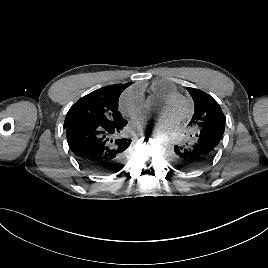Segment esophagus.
I'll return each instance as SVG.
<instances>
[{
    "mask_svg": "<svg viewBox=\"0 0 268 268\" xmlns=\"http://www.w3.org/2000/svg\"><path fill=\"white\" fill-rule=\"evenodd\" d=\"M143 134H144V132H143V131H140V132H139V135H143Z\"/></svg>",
    "mask_w": 268,
    "mask_h": 268,
    "instance_id": "34e87169",
    "label": "esophagus"
}]
</instances>
